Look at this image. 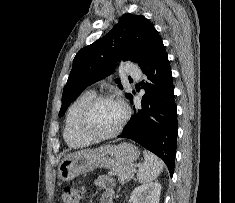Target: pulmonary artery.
<instances>
[{"label":"pulmonary artery","mask_w":235,"mask_h":203,"mask_svg":"<svg viewBox=\"0 0 235 203\" xmlns=\"http://www.w3.org/2000/svg\"><path fill=\"white\" fill-rule=\"evenodd\" d=\"M129 73L130 75H132L133 77L139 78L141 76L140 72L136 69L130 68L129 69Z\"/></svg>","instance_id":"e3ab8cb5"}]
</instances>
